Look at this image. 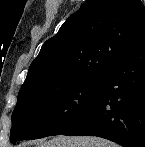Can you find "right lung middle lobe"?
Masks as SVG:
<instances>
[{
  "mask_svg": "<svg viewBox=\"0 0 145 147\" xmlns=\"http://www.w3.org/2000/svg\"><path fill=\"white\" fill-rule=\"evenodd\" d=\"M101 81L102 74H91L54 91L18 95L11 142L62 134L93 101Z\"/></svg>",
  "mask_w": 145,
  "mask_h": 147,
  "instance_id": "dd1d6c3e",
  "label": "right lung middle lobe"
}]
</instances>
